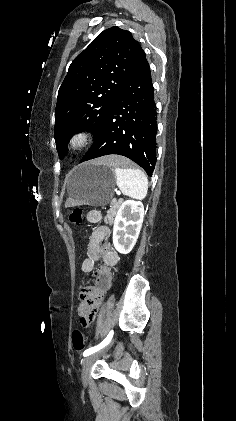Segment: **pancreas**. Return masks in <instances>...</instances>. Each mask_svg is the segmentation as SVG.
Returning a JSON list of instances; mask_svg holds the SVG:
<instances>
[{"mask_svg":"<svg viewBox=\"0 0 236 421\" xmlns=\"http://www.w3.org/2000/svg\"><path fill=\"white\" fill-rule=\"evenodd\" d=\"M122 200H118V202H111L112 206L109 208V211H107V215L104 219L106 225H113L114 223V217H116L117 208H119Z\"/></svg>","mask_w":236,"mask_h":421,"instance_id":"cf45deb5","label":"pancreas"}]
</instances>
